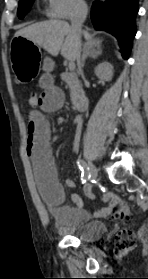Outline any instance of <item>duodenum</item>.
I'll list each match as a JSON object with an SVG mask.
<instances>
[{"mask_svg": "<svg viewBox=\"0 0 148 279\" xmlns=\"http://www.w3.org/2000/svg\"><path fill=\"white\" fill-rule=\"evenodd\" d=\"M89 104V99L87 97H81L74 102V107L81 111L87 108Z\"/></svg>", "mask_w": 148, "mask_h": 279, "instance_id": "1", "label": "duodenum"}]
</instances>
